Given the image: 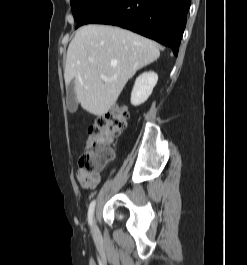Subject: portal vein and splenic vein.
Segmentation results:
<instances>
[{"label": "portal vein and splenic vein", "instance_id": "18ae733b", "mask_svg": "<svg viewBox=\"0 0 247 265\" xmlns=\"http://www.w3.org/2000/svg\"><path fill=\"white\" fill-rule=\"evenodd\" d=\"M101 78H102L104 81H107V80H108V78H107L106 76H104V75H101Z\"/></svg>", "mask_w": 247, "mask_h": 265}]
</instances>
